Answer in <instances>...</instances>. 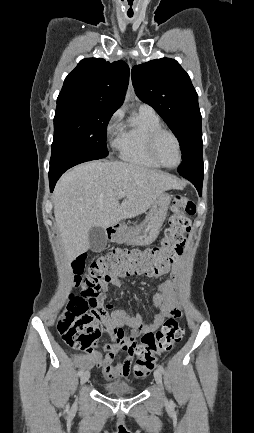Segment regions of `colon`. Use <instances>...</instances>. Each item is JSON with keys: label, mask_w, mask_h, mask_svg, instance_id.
<instances>
[{"label": "colon", "mask_w": 254, "mask_h": 433, "mask_svg": "<svg viewBox=\"0 0 254 433\" xmlns=\"http://www.w3.org/2000/svg\"><path fill=\"white\" fill-rule=\"evenodd\" d=\"M173 210L175 215L170 218L158 246L143 251L117 249L100 255L89 264L88 273L83 278L80 274L85 268L84 258L79 257L73 263L76 285L87 294V299L72 297L58 319L57 331L67 346L88 354L95 352L101 305L97 290L116 277L157 274L183 253L190 231L189 217L195 213V205L187 196L175 195ZM179 317L180 312L175 313L164 321L160 329L142 336L140 344L134 348L137 356L135 377L142 378L151 373L156 367L157 358L171 352L181 341L184 332Z\"/></svg>", "instance_id": "colon-1"}]
</instances>
